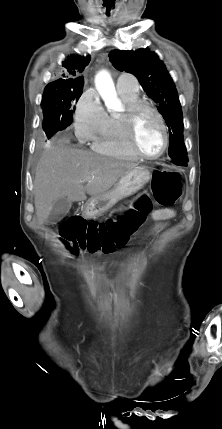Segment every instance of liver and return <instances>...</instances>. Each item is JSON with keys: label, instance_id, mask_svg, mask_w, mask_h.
<instances>
[{"label": "liver", "instance_id": "1", "mask_svg": "<svg viewBox=\"0 0 222 429\" xmlns=\"http://www.w3.org/2000/svg\"><path fill=\"white\" fill-rule=\"evenodd\" d=\"M137 164L97 155L64 145L50 146L41 156L34 179L37 221L43 224L54 203L67 197L86 200L106 193ZM89 179L86 186L85 180Z\"/></svg>", "mask_w": 222, "mask_h": 429}]
</instances>
